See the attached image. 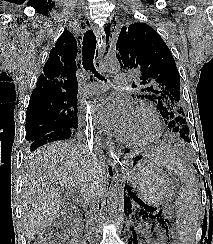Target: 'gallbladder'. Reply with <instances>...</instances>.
I'll return each mask as SVG.
<instances>
[{
  "label": "gallbladder",
  "instance_id": "obj_1",
  "mask_svg": "<svg viewBox=\"0 0 213 244\" xmlns=\"http://www.w3.org/2000/svg\"><path fill=\"white\" fill-rule=\"evenodd\" d=\"M71 221L70 213L67 209L60 212L57 217L54 219L52 225L54 227L63 228L67 226Z\"/></svg>",
  "mask_w": 213,
  "mask_h": 244
}]
</instances>
